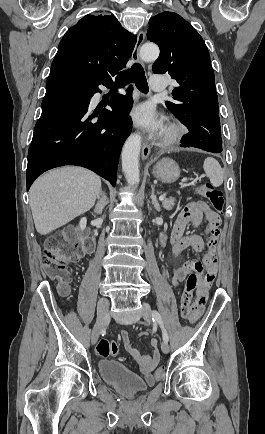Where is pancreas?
Listing matches in <instances>:
<instances>
[{
  "label": "pancreas",
  "mask_w": 265,
  "mask_h": 434,
  "mask_svg": "<svg viewBox=\"0 0 265 434\" xmlns=\"http://www.w3.org/2000/svg\"><path fill=\"white\" fill-rule=\"evenodd\" d=\"M174 204V198H165V200H162V206L165 208V210H172Z\"/></svg>",
  "instance_id": "obj_1"
}]
</instances>
